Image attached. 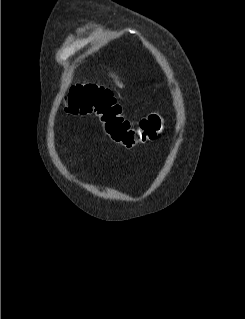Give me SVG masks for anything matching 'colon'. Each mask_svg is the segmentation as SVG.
<instances>
[{"label": "colon", "instance_id": "5ec220e1", "mask_svg": "<svg viewBox=\"0 0 245 319\" xmlns=\"http://www.w3.org/2000/svg\"><path fill=\"white\" fill-rule=\"evenodd\" d=\"M66 111L73 115H92L102 123L112 142L123 147H134L153 141L161 132L163 117L151 113L141 118L136 127L122 114V106L113 94L95 84L72 86L66 95Z\"/></svg>", "mask_w": 245, "mask_h": 319}]
</instances>
